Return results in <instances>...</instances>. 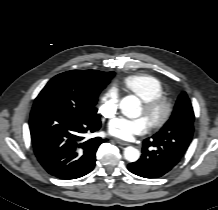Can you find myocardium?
<instances>
[{
  "label": "myocardium",
  "mask_w": 218,
  "mask_h": 210,
  "mask_svg": "<svg viewBox=\"0 0 218 210\" xmlns=\"http://www.w3.org/2000/svg\"><path fill=\"white\" fill-rule=\"evenodd\" d=\"M145 114L152 116L149 121L152 129L163 127L170 119L173 111V105L165 95H159L147 100H143Z\"/></svg>",
  "instance_id": "f54148a6"
}]
</instances>
